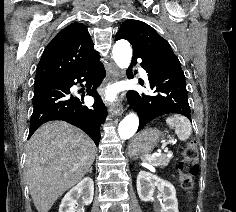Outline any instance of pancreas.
Returning <instances> with one entry per match:
<instances>
[{"label":"pancreas","instance_id":"obj_1","mask_svg":"<svg viewBox=\"0 0 236 212\" xmlns=\"http://www.w3.org/2000/svg\"><path fill=\"white\" fill-rule=\"evenodd\" d=\"M170 159H171V157H169L167 155H162V156L158 157L157 159H155V162L158 165L166 166V165H168Z\"/></svg>","mask_w":236,"mask_h":212}]
</instances>
